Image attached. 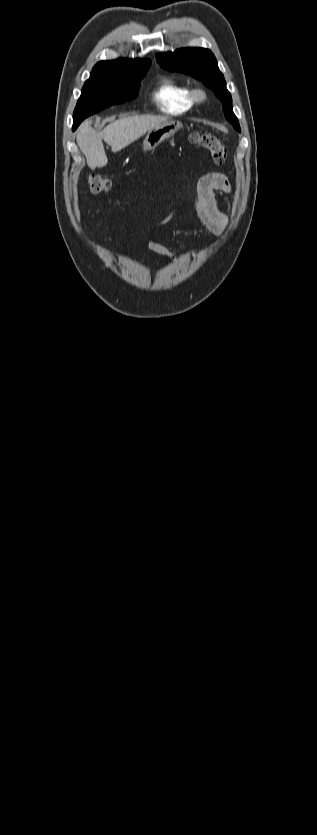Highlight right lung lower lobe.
I'll return each mask as SVG.
<instances>
[{
    "label": "right lung lower lobe",
    "instance_id": "obj_1",
    "mask_svg": "<svg viewBox=\"0 0 317 835\" xmlns=\"http://www.w3.org/2000/svg\"><path fill=\"white\" fill-rule=\"evenodd\" d=\"M75 129H76V128H72V130H73V131H74Z\"/></svg>",
    "mask_w": 317,
    "mask_h": 835
}]
</instances>
